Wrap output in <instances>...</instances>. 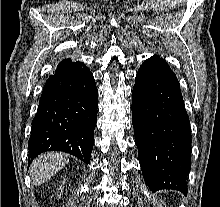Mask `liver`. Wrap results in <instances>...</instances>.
<instances>
[{"instance_id": "liver-1", "label": "liver", "mask_w": 220, "mask_h": 207, "mask_svg": "<svg viewBox=\"0 0 220 207\" xmlns=\"http://www.w3.org/2000/svg\"><path fill=\"white\" fill-rule=\"evenodd\" d=\"M68 162V157L61 152L41 154L30 166L31 178L36 186H40L59 172Z\"/></svg>"}]
</instances>
